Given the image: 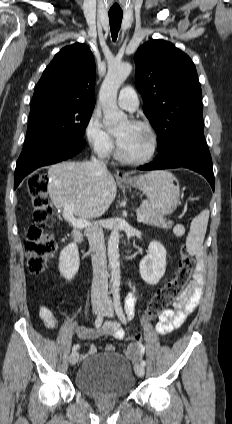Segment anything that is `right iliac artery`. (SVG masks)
Instances as JSON below:
<instances>
[{
  "label": "right iliac artery",
  "instance_id": "82829eb1",
  "mask_svg": "<svg viewBox=\"0 0 232 424\" xmlns=\"http://www.w3.org/2000/svg\"><path fill=\"white\" fill-rule=\"evenodd\" d=\"M103 316H104V314H103V313H101V314H99V315L97 316V318H96V320H95V327H96V328H99V327L102 325V322H103ZM79 347H80V345H79V344H76V345H74V346H73L72 350H73V351H76L77 349H79Z\"/></svg>",
  "mask_w": 232,
  "mask_h": 424
}]
</instances>
